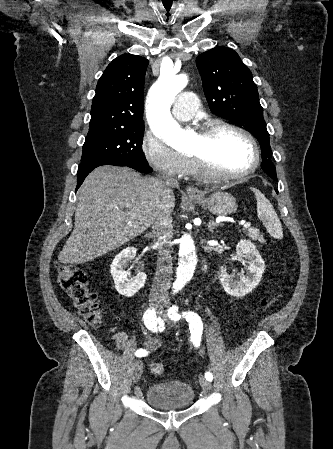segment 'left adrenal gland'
Returning a JSON list of instances; mask_svg holds the SVG:
<instances>
[{"label": "left adrenal gland", "mask_w": 333, "mask_h": 449, "mask_svg": "<svg viewBox=\"0 0 333 449\" xmlns=\"http://www.w3.org/2000/svg\"><path fill=\"white\" fill-rule=\"evenodd\" d=\"M216 226L217 224L214 222V220H211L208 226L209 232L213 233Z\"/></svg>", "instance_id": "a2214340"}]
</instances>
